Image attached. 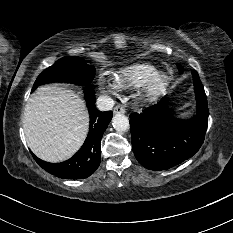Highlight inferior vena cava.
Returning <instances> with one entry per match:
<instances>
[{
  "mask_svg": "<svg viewBox=\"0 0 233 233\" xmlns=\"http://www.w3.org/2000/svg\"><path fill=\"white\" fill-rule=\"evenodd\" d=\"M115 102L114 100L106 95H101L98 97L97 99V108L100 111H109L112 110V108L114 107Z\"/></svg>",
  "mask_w": 233,
  "mask_h": 233,
  "instance_id": "obj_1",
  "label": "inferior vena cava"
}]
</instances>
